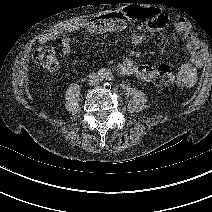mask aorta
I'll return each instance as SVG.
<instances>
[{"mask_svg":"<svg viewBox=\"0 0 212 212\" xmlns=\"http://www.w3.org/2000/svg\"><path fill=\"white\" fill-rule=\"evenodd\" d=\"M107 78H111V76L110 75H107Z\"/></svg>","mask_w":212,"mask_h":212,"instance_id":"1","label":"aorta"}]
</instances>
